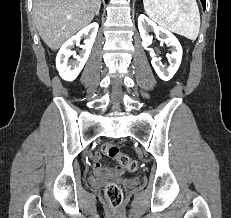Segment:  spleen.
<instances>
[{"instance_id":"obj_1","label":"spleen","mask_w":231,"mask_h":218,"mask_svg":"<svg viewBox=\"0 0 231 218\" xmlns=\"http://www.w3.org/2000/svg\"><path fill=\"white\" fill-rule=\"evenodd\" d=\"M146 14L159 25L195 40L200 29L196 0H143Z\"/></svg>"}]
</instances>
